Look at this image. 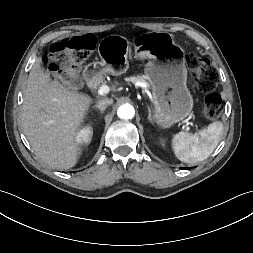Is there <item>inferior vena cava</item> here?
<instances>
[{
	"label": "inferior vena cava",
	"mask_w": 253,
	"mask_h": 253,
	"mask_svg": "<svg viewBox=\"0 0 253 253\" xmlns=\"http://www.w3.org/2000/svg\"><path fill=\"white\" fill-rule=\"evenodd\" d=\"M113 103L112 99H102L97 102V106L100 107H107L108 105H111Z\"/></svg>",
	"instance_id": "602c4592"
}]
</instances>
